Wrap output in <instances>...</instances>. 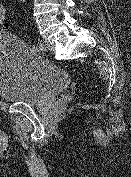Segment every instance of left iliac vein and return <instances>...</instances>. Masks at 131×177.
Returning a JSON list of instances; mask_svg holds the SVG:
<instances>
[{
  "label": "left iliac vein",
  "mask_w": 131,
  "mask_h": 177,
  "mask_svg": "<svg viewBox=\"0 0 131 177\" xmlns=\"http://www.w3.org/2000/svg\"><path fill=\"white\" fill-rule=\"evenodd\" d=\"M41 43H43V46H44L42 50L53 51L55 49L54 43L49 40H42Z\"/></svg>",
  "instance_id": "left-iliac-vein-1"
}]
</instances>
